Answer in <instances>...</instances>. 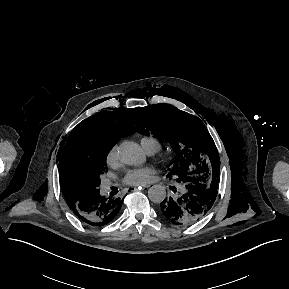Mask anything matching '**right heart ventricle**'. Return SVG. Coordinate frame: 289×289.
I'll use <instances>...</instances> for the list:
<instances>
[{
	"instance_id": "e07e8e85",
	"label": "right heart ventricle",
	"mask_w": 289,
	"mask_h": 289,
	"mask_svg": "<svg viewBox=\"0 0 289 289\" xmlns=\"http://www.w3.org/2000/svg\"><path fill=\"white\" fill-rule=\"evenodd\" d=\"M141 145L146 151L152 147H156L158 150L160 147L159 142L153 137H149V136H144L141 138Z\"/></svg>"
}]
</instances>
